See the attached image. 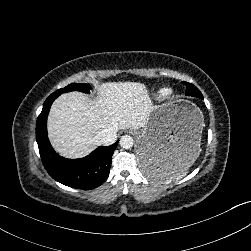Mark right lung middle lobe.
Here are the masks:
<instances>
[{
	"label": "right lung middle lobe",
	"mask_w": 251,
	"mask_h": 251,
	"mask_svg": "<svg viewBox=\"0 0 251 251\" xmlns=\"http://www.w3.org/2000/svg\"><path fill=\"white\" fill-rule=\"evenodd\" d=\"M91 90V87L87 84H77V83H72L62 89L57 90L54 92L57 95H60L62 93L70 92V91H80L84 93H89Z\"/></svg>",
	"instance_id": "dd1d6c3e"
}]
</instances>
